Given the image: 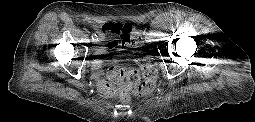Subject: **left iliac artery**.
<instances>
[{
    "mask_svg": "<svg viewBox=\"0 0 255 122\" xmlns=\"http://www.w3.org/2000/svg\"><path fill=\"white\" fill-rule=\"evenodd\" d=\"M147 41H148V42H151V39H150V37H147Z\"/></svg>",
    "mask_w": 255,
    "mask_h": 122,
    "instance_id": "44dca946",
    "label": "left iliac artery"
}]
</instances>
